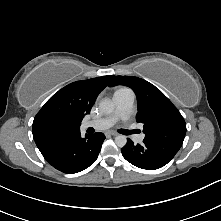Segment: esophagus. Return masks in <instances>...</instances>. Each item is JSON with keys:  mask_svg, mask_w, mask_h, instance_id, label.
Segmentation results:
<instances>
[{"mask_svg": "<svg viewBox=\"0 0 221 221\" xmlns=\"http://www.w3.org/2000/svg\"><path fill=\"white\" fill-rule=\"evenodd\" d=\"M106 134H107V135H110V136H117V133H116V132H107Z\"/></svg>", "mask_w": 221, "mask_h": 221, "instance_id": "obj_1", "label": "esophagus"}]
</instances>
